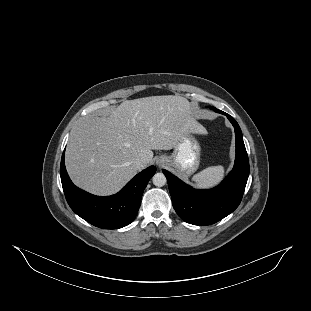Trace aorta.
Segmentation results:
<instances>
[{
	"instance_id": "obj_1",
	"label": "aorta",
	"mask_w": 311,
	"mask_h": 311,
	"mask_svg": "<svg viewBox=\"0 0 311 311\" xmlns=\"http://www.w3.org/2000/svg\"><path fill=\"white\" fill-rule=\"evenodd\" d=\"M152 182L157 187H162L166 184L167 179L166 176L163 173H156L152 177Z\"/></svg>"
}]
</instances>
